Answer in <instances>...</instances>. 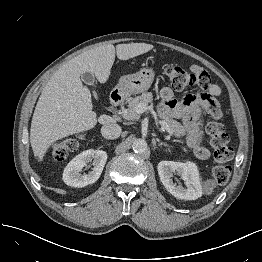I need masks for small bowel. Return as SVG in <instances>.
<instances>
[{
    "label": "small bowel",
    "instance_id": "small-bowel-1",
    "mask_svg": "<svg viewBox=\"0 0 262 262\" xmlns=\"http://www.w3.org/2000/svg\"><path fill=\"white\" fill-rule=\"evenodd\" d=\"M190 71L198 74L201 67L191 65ZM205 89L197 95H188L183 100L178 101L174 97V92L169 87H164L160 91L161 106L164 110H170L172 114L180 118L185 130V142L188 146L196 149L197 155L202 160L210 158V151L201 146L203 139L201 113H208L213 119L221 117L219 97L221 89L218 85L213 84L210 78L199 80Z\"/></svg>",
    "mask_w": 262,
    "mask_h": 262
}]
</instances>
